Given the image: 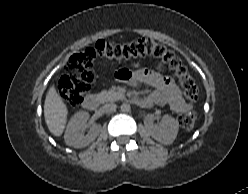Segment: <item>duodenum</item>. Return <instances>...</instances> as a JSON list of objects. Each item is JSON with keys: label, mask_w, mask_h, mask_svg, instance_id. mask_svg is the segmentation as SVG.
I'll list each match as a JSON object with an SVG mask.
<instances>
[{"label": "duodenum", "mask_w": 248, "mask_h": 194, "mask_svg": "<svg viewBox=\"0 0 248 194\" xmlns=\"http://www.w3.org/2000/svg\"><path fill=\"white\" fill-rule=\"evenodd\" d=\"M132 102L135 105L141 106V107H146V105H147V102L145 100H142V99H133ZM98 103H99L98 96H96V95H88L83 100L82 106L86 110L93 111V110H95L97 108Z\"/></svg>", "instance_id": "410a0bca"}]
</instances>
